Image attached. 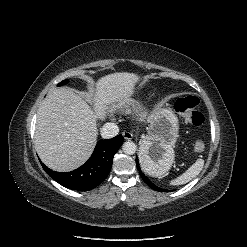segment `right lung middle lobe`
<instances>
[{
	"label": "right lung middle lobe",
	"instance_id": "obj_1",
	"mask_svg": "<svg viewBox=\"0 0 247 247\" xmlns=\"http://www.w3.org/2000/svg\"><path fill=\"white\" fill-rule=\"evenodd\" d=\"M66 83H68V80L62 81L61 83L58 84V86H61V85L66 84Z\"/></svg>",
	"mask_w": 247,
	"mask_h": 247
}]
</instances>
